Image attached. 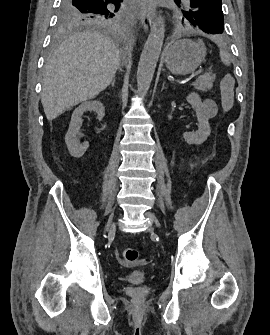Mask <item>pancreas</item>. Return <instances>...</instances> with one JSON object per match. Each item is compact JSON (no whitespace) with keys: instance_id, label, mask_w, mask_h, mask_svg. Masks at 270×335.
<instances>
[{"instance_id":"cf45deb5","label":"pancreas","mask_w":270,"mask_h":335,"mask_svg":"<svg viewBox=\"0 0 270 335\" xmlns=\"http://www.w3.org/2000/svg\"><path fill=\"white\" fill-rule=\"evenodd\" d=\"M216 80V74H204V76H199L193 86L196 90H202V92H207V90H212L213 82Z\"/></svg>"}]
</instances>
